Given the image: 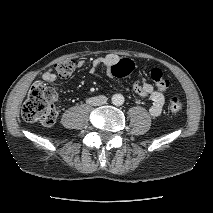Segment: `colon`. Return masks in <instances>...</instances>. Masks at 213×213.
Returning <instances> with one entry per match:
<instances>
[{
  "label": "colon",
  "mask_w": 213,
  "mask_h": 213,
  "mask_svg": "<svg viewBox=\"0 0 213 213\" xmlns=\"http://www.w3.org/2000/svg\"><path fill=\"white\" fill-rule=\"evenodd\" d=\"M75 68L73 60H64L55 64V69L60 77H68ZM134 70V63L129 59H121L112 69V75L117 78L128 77ZM151 79L160 92L166 91L169 87V79L159 68H153L150 73ZM56 93L43 82H35L28 93L27 99L22 107V117L31 123H40L44 126H51L57 118L55 105ZM183 109V102L177 96L169 100V111L172 114H179Z\"/></svg>",
  "instance_id": "obj_1"
}]
</instances>
